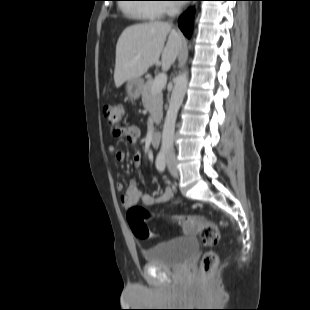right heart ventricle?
<instances>
[{"label":"right heart ventricle","instance_id":"e07e8e85","mask_svg":"<svg viewBox=\"0 0 310 310\" xmlns=\"http://www.w3.org/2000/svg\"><path fill=\"white\" fill-rule=\"evenodd\" d=\"M158 6L159 5L155 4H137L132 7H128L127 11L141 20L151 21L158 18L162 14V11L158 8Z\"/></svg>","mask_w":310,"mask_h":310}]
</instances>
